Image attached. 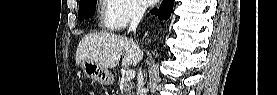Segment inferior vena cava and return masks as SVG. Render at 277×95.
Here are the masks:
<instances>
[{"instance_id": "obj_1", "label": "inferior vena cava", "mask_w": 277, "mask_h": 95, "mask_svg": "<svg viewBox=\"0 0 277 95\" xmlns=\"http://www.w3.org/2000/svg\"><path fill=\"white\" fill-rule=\"evenodd\" d=\"M145 10H146V8L141 4H136L133 7L132 18L130 21L128 32H136V28H137L139 22L141 21L143 15L145 13ZM136 49L140 55V60H141L143 53L141 52V50L139 49V47L137 45H136ZM137 79H138L137 95H146L147 91L144 88V77H143L142 68L139 69Z\"/></svg>"}]
</instances>
